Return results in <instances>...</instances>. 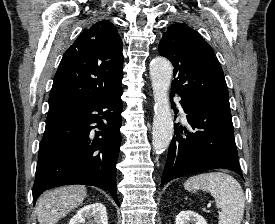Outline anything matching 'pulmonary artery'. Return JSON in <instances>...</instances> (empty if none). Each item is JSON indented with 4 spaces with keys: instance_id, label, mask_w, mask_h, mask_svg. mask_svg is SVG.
<instances>
[{
    "instance_id": "obj_1",
    "label": "pulmonary artery",
    "mask_w": 275,
    "mask_h": 224,
    "mask_svg": "<svg viewBox=\"0 0 275 224\" xmlns=\"http://www.w3.org/2000/svg\"><path fill=\"white\" fill-rule=\"evenodd\" d=\"M176 101H177V104H178V107H179L180 113H181V115L184 117V116H185V114H184V111H183V109H182V107H181V105H180V103H179V99H176Z\"/></svg>"
}]
</instances>
